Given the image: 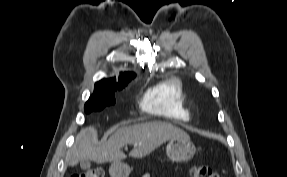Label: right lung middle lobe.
<instances>
[{"instance_id":"right-lung-middle-lobe-1","label":"right lung middle lobe","mask_w":287,"mask_h":177,"mask_svg":"<svg viewBox=\"0 0 287 177\" xmlns=\"http://www.w3.org/2000/svg\"><path fill=\"white\" fill-rule=\"evenodd\" d=\"M127 84L128 83L114 87L95 85L94 93L85 104V112L90 113L93 110H102L108 105H113L115 103L114 91L123 89Z\"/></svg>"}]
</instances>
